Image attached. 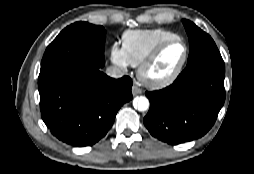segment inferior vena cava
I'll list each match as a JSON object with an SVG mask.
<instances>
[{
	"instance_id": "obj_1",
	"label": "inferior vena cava",
	"mask_w": 254,
	"mask_h": 174,
	"mask_svg": "<svg viewBox=\"0 0 254 174\" xmlns=\"http://www.w3.org/2000/svg\"><path fill=\"white\" fill-rule=\"evenodd\" d=\"M106 74L112 78H121L124 75V72L121 68L117 66H110L106 69Z\"/></svg>"
}]
</instances>
